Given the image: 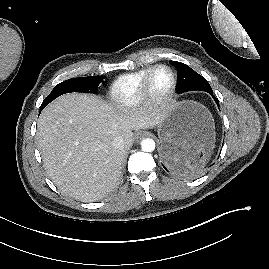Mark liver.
I'll use <instances>...</instances> for the list:
<instances>
[{
  "label": "liver",
  "instance_id": "1",
  "mask_svg": "<svg viewBox=\"0 0 269 269\" xmlns=\"http://www.w3.org/2000/svg\"><path fill=\"white\" fill-rule=\"evenodd\" d=\"M161 109H128L88 94L60 96L41 113L37 145L47 174L60 191L84 202L97 201L117 187L133 130L158 126ZM115 137L124 148L112 145Z\"/></svg>",
  "mask_w": 269,
  "mask_h": 269
}]
</instances>
